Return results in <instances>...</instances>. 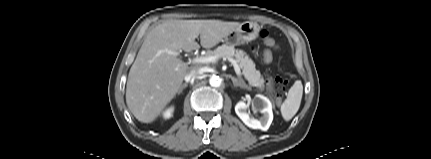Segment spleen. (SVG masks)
Instances as JSON below:
<instances>
[{
    "label": "spleen",
    "mask_w": 431,
    "mask_h": 159,
    "mask_svg": "<svg viewBox=\"0 0 431 159\" xmlns=\"http://www.w3.org/2000/svg\"><path fill=\"white\" fill-rule=\"evenodd\" d=\"M302 94V82L300 80H297L290 88L286 100L281 105L280 111L285 121L291 120L299 110Z\"/></svg>",
    "instance_id": "1"
}]
</instances>
